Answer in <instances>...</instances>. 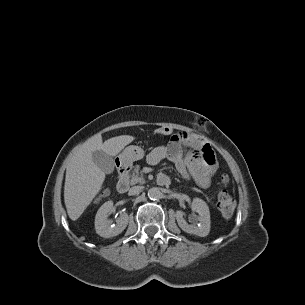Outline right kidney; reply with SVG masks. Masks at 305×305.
Masks as SVG:
<instances>
[{"instance_id": "1", "label": "right kidney", "mask_w": 305, "mask_h": 305, "mask_svg": "<svg viewBox=\"0 0 305 305\" xmlns=\"http://www.w3.org/2000/svg\"><path fill=\"white\" fill-rule=\"evenodd\" d=\"M113 211V202H105L97 211L95 216L96 233L104 238H110L119 235L128 225V214L122 213L116 220V224H112L108 220V215Z\"/></svg>"}]
</instances>
